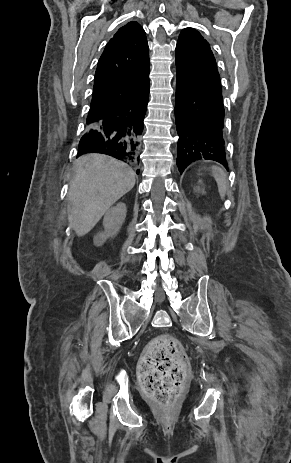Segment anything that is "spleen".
Listing matches in <instances>:
<instances>
[{
  "label": "spleen",
  "mask_w": 291,
  "mask_h": 463,
  "mask_svg": "<svg viewBox=\"0 0 291 463\" xmlns=\"http://www.w3.org/2000/svg\"><path fill=\"white\" fill-rule=\"evenodd\" d=\"M212 175L216 180L218 191L222 199H224L227 192V175L221 168L212 166Z\"/></svg>",
  "instance_id": "3e777b00"
}]
</instances>
